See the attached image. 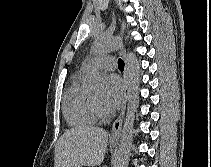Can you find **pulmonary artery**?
Here are the masks:
<instances>
[{"label": "pulmonary artery", "mask_w": 211, "mask_h": 167, "mask_svg": "<svg viewBox=\"0 0 211 167\" xmlns=\"http://www.w3.org/2000/svg\"><path fill=\"white\" fill-rule=\"evenodd\" d=\"M83 67H85L88 70L102 69L111 71L116 68V61L112 56L91 58L84 61Z\"/></svg>", "instance_id": "pulmonary-artery-1"}]
</instances>
